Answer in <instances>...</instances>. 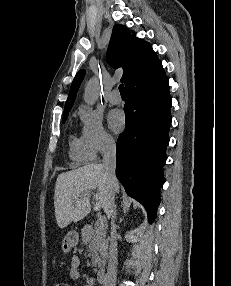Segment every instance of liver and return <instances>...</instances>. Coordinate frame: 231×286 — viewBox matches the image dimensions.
Listing matches in <instances>:
<instances>
[{"label": "liver", "mask_w": 231, "mask_h": 286, "mask_svg": "<svg viewBox=\"0 0 231 286\" xmlns=\"http://www.w3.org/2000/svg\"><path fill=\"white\" fill-rule=\"evenodd\" d=\"M94 211L106 209L109 204V183L102 164H89L58 175L54 207L57 224L60 228L72 221L83 219L90 211V196L96 190ZM119 192V185L114 193Z\"/></svg>", "instance_id": "liver-1"}]
</instances>
